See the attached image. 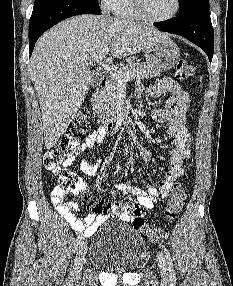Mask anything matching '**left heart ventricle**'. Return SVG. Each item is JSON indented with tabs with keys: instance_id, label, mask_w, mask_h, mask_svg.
<instances>
[{
	"instance_id": "b2bd125f",
	"label": "left heart ventricle",
	"mask_w": 233,
	"mask_h": 286,
	"mask_svg": "<svg viewBox=\"0 0 233 286\" xmlns=\"http://www.w3.org/2000/svg\"><path fill=\"white\" fill-rule=\"evenodd\" d=\"M146 13L153 18L170 15L175 8V0H142Z\"/></svg>"
}]
</instances>
